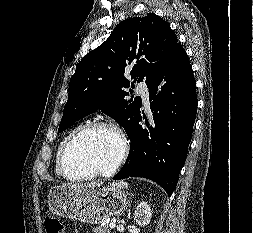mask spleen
Returning a JSON list of instances; mask_svg holds the SVG:
<instances>
[{
	"instance_id": "1",
	"label": "spleen",
	"mask_w": 253,
	"mask_h": 233,
	"mask_svg": "<svg viewBox=\"0 0 253 233\" xmlns=\"http://www.w3.org/2000/svg\"><path fill=\"white\" fill-rule=\"evenodd\" d=\"M116 186L121 187V188H126L128 184L126 182H122V183L116 184Z\"/></svg>"
}]
</instances>
